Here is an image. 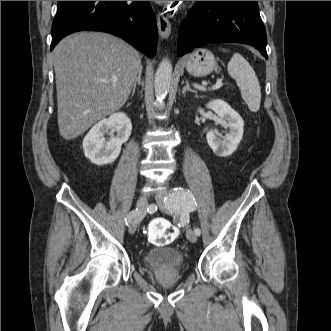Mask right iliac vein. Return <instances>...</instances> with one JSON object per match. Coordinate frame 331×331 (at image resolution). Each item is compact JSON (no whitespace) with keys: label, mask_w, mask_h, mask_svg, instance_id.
Listing matches in <instances>:
<instances>
[{"label":"right iliac vein","mask_w":331,"mask_h":331,"mask_svg":"<svg viewBox=\"0 0 331 331\" xmlns=\"http://www.w3.org/2000/svg\"><path fill=\"white\" fill-rule=\"evenodd\" d=\"M147 205H148V203H147V199L145 196L140 197L139 200L137 201V205H136L137 214L135 215L134 219L131 221L130 227H129V232L131 234L135 233L138 225L140 224L141 220L143 219L145 212H146Z\"/></svg>","instance_id":"63e3f726"}]
</instances>
